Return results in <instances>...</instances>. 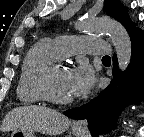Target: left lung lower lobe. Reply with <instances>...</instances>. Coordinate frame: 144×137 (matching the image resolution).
I'll return each mask as SVG.
<instances>
[{
    "mask_svg": "<svg viewBox=\"0 0 144 137\" xmlns=\"http://www.w3.org/2000/svg\"><path fill=\"white\" fill-rule=\"evenodd\" d=\"M129 35L132 56L126 71L121 72L115 67L112 71L114 79L95 99L64 112L73 119H87L93 136L107 132L127 104L137 102L144 96V31L134 27ZM113 63L118 64L115 56Z\"/></svg>",
    "mask_w": 144,
    "mask_h": 137,
    "instance_id": "left-lung-lower-lobe-1",
    "label": "left lung lower lobe"
}]
</instances>
